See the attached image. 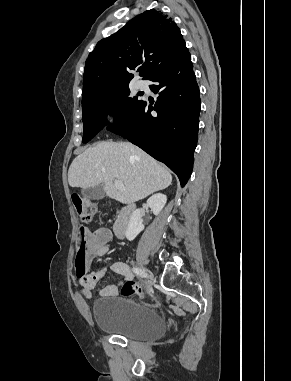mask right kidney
<instances>
[{
    "mask_svg": "<svg viewBox=\"0 0 291 381\" xmlns=\"http://www.w3.org/2000/svg\"><path fill=\"white\" fill-rule=\"evenodd\" d=\"M166 202L167 197L161 193L154 194L147 200L148 206L156 216L160 214ZM143 230L144 225L142 224V213L140 209H137L131 215L128 223V227L125 233L127 240H134L136 236Z\"/></svg>",
    "mask_w": 291,
    "mask_h": 381,
    "instance_id": "right-kidney-1",
    "label": "right kidney"
}]
</instances>
